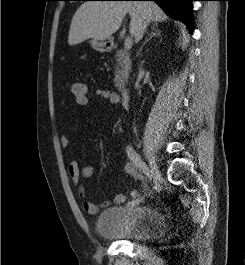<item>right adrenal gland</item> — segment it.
Here are the masks:
<instances>
[{"label":"right adrenal gland","instance_id":"2a0ac1e0","mask_svg":"<svg viewBox=\"0 0 245 265\" xmlns=\"http://www.w3.org/2000/svg\"><path fill=\"white\" fill-rule=\"evenodd\" d=\"M160 36H161V31L158 29L157 24H154L153 27H152V32H151L149 38L145 40L144 45H145V43H147L150 39H152V37H160Z\"/></svg>","mask_w":245,"mask_h":265}]
</instances>
